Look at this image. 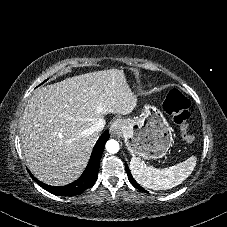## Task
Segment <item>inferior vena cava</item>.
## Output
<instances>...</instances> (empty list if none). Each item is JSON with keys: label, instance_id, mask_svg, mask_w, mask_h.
I'll list each match as a JSON object with an SVG mask.
<instances>
[{"label": "inferior vena cava", "instance_id": "1", "mask_svg": "<svg viewBox=\"0 0 227 227\" xmlns=\"http://www.w3.org/2000/svg\"><path fill=\"white\" fill-rule=\"evenodd\" d=\"M104 126H105V120L103 118H100L93 124L92 129L95 132H100L103 130Z\"/></svg>", "mask_w": 227, "mask_h": 227}]
</instances>
